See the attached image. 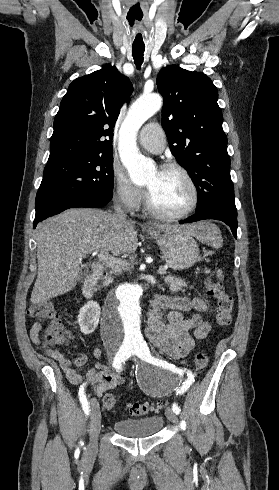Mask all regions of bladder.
<instances>
[{
  "label": "bladder",
  "instance_id": "obj_1",
  "mask_svg": "<svg viewBox=\"0 0 279 490\" xmlns=\"http://www.w3.org/2000/svg\"><path fill=\"white\" fill-rule=\"evenodd\" d=\"M163 426L164 418L159 414H154L148 417L115 421L112 424V429L124 437H147L158 434Z\"/></svg>",
  "mask_w": 279,
  "mask_h": 490
}]
</instances>
